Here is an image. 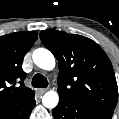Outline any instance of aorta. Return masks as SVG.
<instances>
[{
    "mask_svg": "<svg viewBox=\"0 0 119 119\" xmlns=\"http://www.w3.org/2000/svg\"><path fill=\"white\" fill-rule=\"evenodd\" d=\"M34 63L44 70H52L55 67V58L53 54L45 48L36 49L33 52ZM59 102L58 93L54 90L46 92L42 98V103L46 108L52 109L57 106Z\"/></svg>",
    "mask_w": 119,
    "mask_h": 119,
    "instance_id": "762f6f07",
    "label": "aorta"
}]
</instances>
